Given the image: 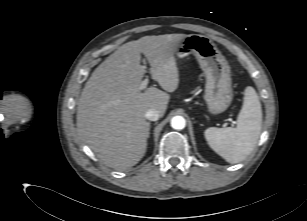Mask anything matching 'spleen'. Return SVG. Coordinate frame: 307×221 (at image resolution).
<instances>
[{
	"label": "spleen",
	"mask_w": 307,
	"mask_h": 221,
	"mask_svg": "<svg viewBox=\"0 0 307 221\" xmlns=\"http://www.w3.org/2000/svg\"><path fill=\"white\" fill-rule=\"evenodd\" d=\"M262 108L255 89L246 87L243 106L237 117L236 127L205 130L208 145L227 162L243 161L254 150L261 133Z\"/></svg>",
	"instance_id": "3e777b00"
}]
</instances>
